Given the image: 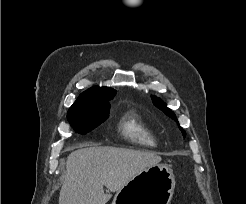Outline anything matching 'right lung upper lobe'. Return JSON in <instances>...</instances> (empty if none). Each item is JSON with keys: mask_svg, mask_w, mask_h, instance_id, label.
<instances>
[{"mask_svg": "<svg viewBox=\"0 0 246 204\" xmlns=\"http://www.w3.org/2000/svg\"><path fill=\"white\" fill-rule=\"evenodd\" d=\"M115 94L116 91L111 88L93 87L83 92L71 107L82 106L88 103L90 100L97 99V98L112 97Z\"/></svg>", "mask_w": 246, "mask_h": 204, "instance_id": "obj_1", "label": "right lung upper lobe"}]
</instances>
